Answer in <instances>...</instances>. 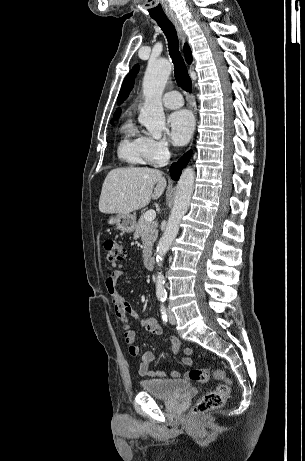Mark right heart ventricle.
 Masks as SVG:
<instances>
[{
    "label": "right heart ventricle",
    "instance_id": "e07e8e85",
    "mask_svg": "<svg viewBox=\"0 0 305 461\" xmlns=\"http://www.w3.org/2000/svg\"><path fill=\"white\" fill-rule=\"evenodd\" d=\"M121 132L122 137L118 145L119 157L131 165L151 163L147 146L148 138L138 131L131 120L123 124Z\"/></svg>",
    "mask_w": 305,
    "mask_h": 461
}]
</instances>
